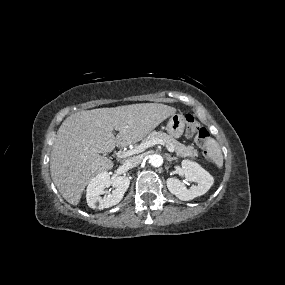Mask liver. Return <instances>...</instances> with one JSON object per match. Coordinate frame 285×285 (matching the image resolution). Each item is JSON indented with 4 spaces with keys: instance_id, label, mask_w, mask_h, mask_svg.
<instances>
[{
    "instance_id": "1",
    "label": "liver",
    "mask_w": 285,
    "mask_h": 285,
    "mask_svg": "<svg viewBox=\"0 0 285 285\" xmlns=\"http://www.w3.org/2000/svg\"><path fill=\"white\" fill-rule=\"evenodd\" d=\"M175 112L168 105L140 103L68 116L57 131L50 159V174L60 194L77 205L90 180L114 166L101 153L139 142Z\"/></svg>"
}]
</instances>
